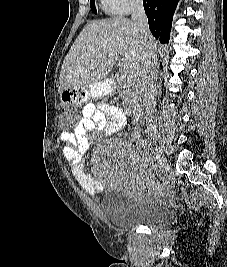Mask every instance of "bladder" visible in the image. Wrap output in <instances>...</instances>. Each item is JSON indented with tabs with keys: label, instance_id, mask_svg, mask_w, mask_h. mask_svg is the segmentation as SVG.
<instances>
[{
	"label": "bladder",
	"instance_id": "obj_1",
	"mask_svg": "<svg viewBox=\"0 0 227 267\" xmlns=\"http://www.w3.org/2000/svg\"><path fill=\"white\" fill-rule=\"evenodd\" d=\"M101 207L106 219L122 229L164 225L175 217L173 209L159 200H138L115 187L105 191Z\"/></svg>",
	"mask_w": 227,
	"mask_h": 267
}]
</instances>
